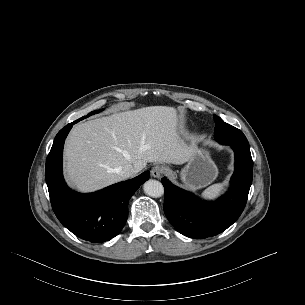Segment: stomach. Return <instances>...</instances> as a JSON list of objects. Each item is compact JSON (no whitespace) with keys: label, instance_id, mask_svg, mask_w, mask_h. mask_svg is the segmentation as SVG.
I'll return each mask as SVG.
<instances>
[{"label":"stomach","instance_id":"stomach-1","mask_svg":"<svg viewBox=\"0 0 305 305\" xmlns=\"http://www.w3.org/2000/svg\"><path fill=\"white\" fill-rule=\"evenodd\" d=\"M218 169L207 150L195 148L188 164L181 170L180 179L186 188L197 190L212 183Z\"/></svg>","mask_w":305,"mask_h":305}]
</instances>
